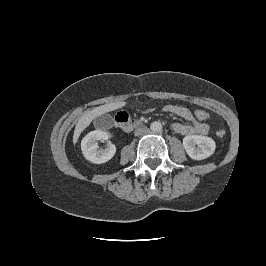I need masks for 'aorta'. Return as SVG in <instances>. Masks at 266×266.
Instances as JSON below:
<instances>
[{"instance_id": "762f6f07", "label": "aorta", "mask_w": 266, "mask_h": 266, "mask_svg": "<svg viewBox=\"0 0 266 266\" xmlns=\"http://www.w3.org/2000/svg\"><path fill=\"white\" fill-rule=\"evenodd\" d=\"M150 129L153 132H161L162 131V124L158 121H154L151 123Z\"/></svg>"}]
</instances>
